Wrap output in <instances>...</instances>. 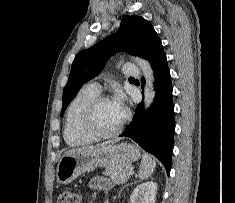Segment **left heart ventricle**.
<instances>
[{
  "mask_svg": "<svg viewBox=\"0 0 235 203\" xmlns=\"http://www.w3.org/2000/svg\"><path fill=\"white\" fill-rule=\"evenodd\" d=\"M124 115V109L113 100H107L98 106L95 114V123L101 131H111L121 123Z\"/></svg>",
  "mask_w": 235,
  "mask_h": 203,
  "instance_id": "left-heart-ventricle-1",
  "label": "left heart ventricle"
}]
</instances>
